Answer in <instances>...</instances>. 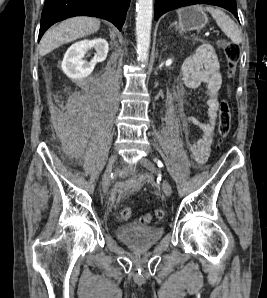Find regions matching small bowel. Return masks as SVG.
I'll use <instances>...</instances> for the list:
<instances>
[{
  "instance_id": "1",
  "label": "small bowel",
  "mask_w": 267,
  "mask_h": 298,
  "mask_svg": "<svg viewBox=\"0 0 267 298\" xmlns=\"http://www.w3.org/2000/svg\"><path fill=\"white\" fill-rule=\"evenodd\" d=\"M182 81L183 85L189 89H197L202 84L206 86V122H201L194 117L183 120L184 134L189 135V126L201 132L200 137L192 143V154L195 161L201 164L208 159L210 154L219 109L218 93L222 85L219 59L212 46H200L192 56L184 61Z\"/></svg>"
}]
</instances>
